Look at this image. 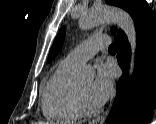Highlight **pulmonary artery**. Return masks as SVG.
<instances>
[{
  "mask_svg": "<svg viewBox=\"0 0 156 124\" xmlns=\"http://www.w3.org/2000/svg\"><path fill=\"white\" fill-rule=\"evenodd\" d=\"M109 45L107 35L92 36L75 47L63 60L68 65H79L94 57Z\"/></svg>",
  "mask_w": 156,
  "mask_h": 124,
  "instance_id": "obj_1",
  "label": "pulmonary artery"
}]
</instances>
